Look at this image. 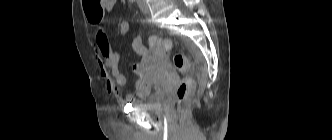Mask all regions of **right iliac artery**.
Here are the masks:
<instances>
[{"instance_id": "obj_1", "label": "right iliac artery", "mask_w": 332, "mask_h": 140, "mask_svg": "<svg viewBox=\"0 0 332 140\" xmlns=\"http://www.w3.org/2000/svg\"><path fill=\"white\" fill-rule=\"evenodd\" d=\"M131 3L135 2V0H129Z\"/></svg>"}]
</instances>
